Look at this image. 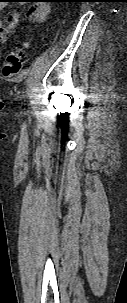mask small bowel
I'll return each mask as SVG.
<instances>
[{"instance_id":"obj_1","label":"small bowel","mask_w":127,"mask_h":303,"mask_svg":"<svg viewBox=\"0 0 127 303\" xmlns=\"http://www.w3.org/2000/svg\"><path fill=\"white\" fill-rule=\"evenodd\" d=\"M45 0H38L31 5L27 11V17L36 22H43L47 19L50 7ZM20 16L17 13L10 15L5 24L0 21V43H4L9 35L18 27Z\"/></svg>"}]
</instances>
